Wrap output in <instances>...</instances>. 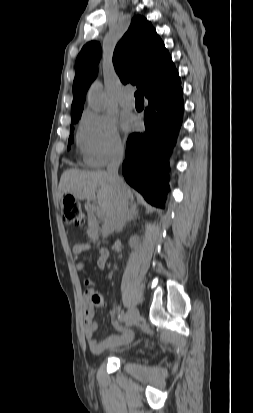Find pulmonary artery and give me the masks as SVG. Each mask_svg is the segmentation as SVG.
<instances>
[{
  "label": "pulmonary artery",
  "mask_w": 253,
  "mask_h": 413,
  "mask_svg": "<svg viewBox=\"0 0 253 413\" xmlns=\"http://www.w3.org/2000/svg\"><path fill=\"white\" fill-rule=\"evenodd\" d=\"M119 103L124 108H133L135 106V99L132 91L129 89H124L120 94Z\"/></svg>",
  "instance_id": "e3ab8cb5"
}]
</instances>
